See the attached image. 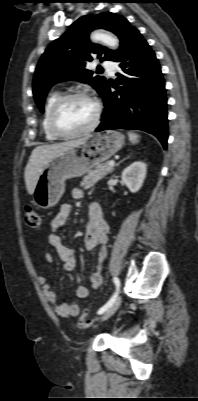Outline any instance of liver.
Returning a JSON list of instances; mask_svg holds the SVG:
<instances>
[{"mask_svg":"<svg viewBox=\"0 0 198 401\" xmlns=\"http://www.w3.org/2000/svg\"><path fill=\"white\" fill-rule=\"evenodd\" d=\"M82 139L66 141L63 143L37 146L31 153L26 165L24 178L27 191L34 193L37 180L47 163L70 147L79 144Z\"/></svg>","mask_w":198,"mask_h":401,"instance_id":"6515ba94","label":"liver"}]
</instances>
